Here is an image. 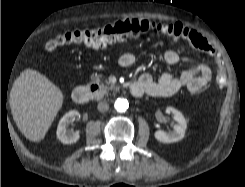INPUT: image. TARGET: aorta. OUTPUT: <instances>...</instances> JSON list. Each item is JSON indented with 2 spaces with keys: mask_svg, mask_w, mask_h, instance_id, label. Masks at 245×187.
Returning a JSON list of instances; mask_svg holds the SVG:
<instances>
[{
  "mask_svg": "<svg viewBox=\"0 0 245 187\" xmlns=\"http://www.w3.org/2000/svg\"><path fill=\"white\" fill-rule=\"evenodd\" d=\"M115 109L118 111V112H125L128 107H129V103L126 99H123V98H118L116 101H115Z\"/></svg>",
  "mask_w": 245,
  "mask_h": 187,
  "instance_id": "aorta-1",
  "label": "aorta"
}]
</instances>
